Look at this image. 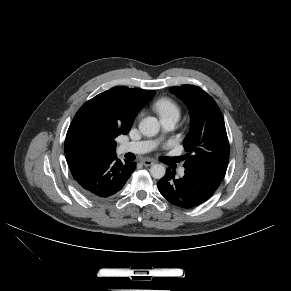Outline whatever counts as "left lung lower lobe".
<instances>
[{
  "instance_id": "0a47b994",
  "label": "left lung lower lobe",
  "mask_w": 291,
  "mask_h": 291,
  "mask_svg": "<svg viewBox=\"0 0 291 291\" xmlns=\"http://www.w3.org/2000/svg\"><path fill=\"white\" fill-rule=\"evenodd\" d=\"M185 175L175 177V171L167 169L158 182L162 196L175 206L191 208L208 200L222 182V176L194 166H184Z\"/></svg>"
}]
</instances>
